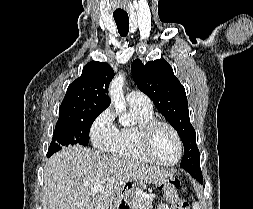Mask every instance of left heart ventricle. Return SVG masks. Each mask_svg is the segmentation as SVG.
I'll return each instance as SVG.
<instances>
[{
  "label": "left heart ventricle",
  "mask_w": 253,
  "mask_h": 209,
  "mask_svg": "<svg viewBox=\"0 0 253 209\" xmlns=\"http://www.w3.org/2000/svg\"><path fill=\"white\" fill-rule=\"evenodd\" d=\"M151 151L159 160L171 162L177 156V143L172 132L164 127L158 126L152 135Z\"/></svg>",
  "instance_id": "obj_1"
}]
</instances>
